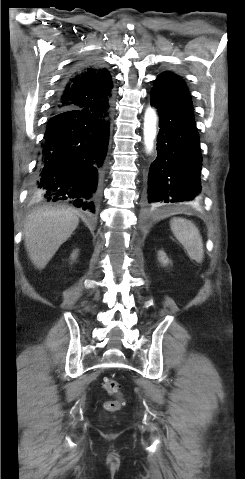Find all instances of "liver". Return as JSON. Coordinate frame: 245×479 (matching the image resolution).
<instances>
[{"mask_svg":"<svg viewBox=\"0 0 245 479\" xmlns=\"http://www.w3.org/2000/svg\"><path fill=\"white\" fill-rule=\"evenodd\" d=\"M79 224L77 214L65 208H42L24 223V241L34 266L43 269Z\"/></svg>","mask_w":245,"mask_h":479,"instance_id":"1","label":"liver"}]
</instances>
